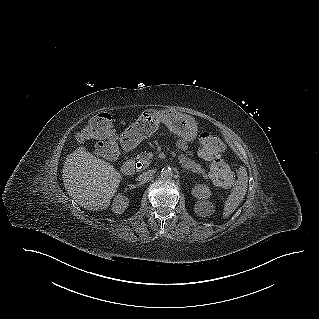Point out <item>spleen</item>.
Here are the masks:
<instances>
[{
	"instance_id": "1",
	"label": "spleen",
	"mask_w": 319,
	"mask_h": 319,
	"mask_svg": "<svg viewBox=\"0 0 319 319\" xmlns=\"http://www.w3.org/2000/svg\"><path fill=\"white\" fill-rule=\"evenodd\" d=\"M248 187V176L245 167L241 166L238 170V179L235 186L226 199L224 204L223 217L226 218L231 215L239 204L243 201Z\"/></svg>"
}]
</instances>
